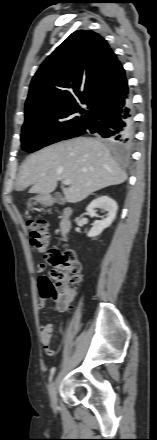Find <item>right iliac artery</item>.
I'll return each instance as SVG.
<instances>
[{"label":"right iliac artery","mask_w":157,"mask_h":440,"mask_svg":"<svg viewBox=\"0 0 157 440\" xmlns=\"http://www.w3.org/2000/svg\"><path fill=\"white\" fill-rule=\"evenodd\" d=\"M54 373H55V367H52L50 370V378L53 377Z\"/></svg>","instance_id":"1"}]
</instances>
